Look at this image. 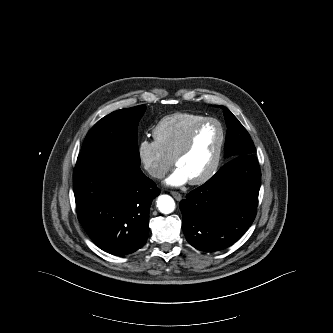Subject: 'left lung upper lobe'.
Masks as SVG:
<instances>
[{
    "label": "left lung upper lobe",
    "instance_id": "1",
    "mask_svg": "<svg viewBox=\"0 0 333 333\" xmlns=\"http://www.w3.org/2000/svg\"><path fill=\"white\" fill-rule=\"evenodd\" d=\"M220 107L223 109L228 127L224 147L225 156L231 159L240 155L253 154L255 146L246 129L226 107Z\"/></svg>",
    "mask_w": 333,
    "mask_h": 333
}]
</instances>
